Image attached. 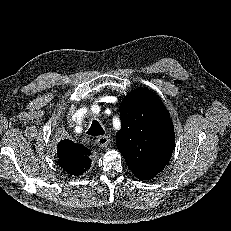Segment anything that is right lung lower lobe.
<instances>
[{
    "label": "right lung lower lobe",
    "instance_id": "obj_1",
    "mask_svg": "<svg viewBox=\"0 0 231 231\" xmlns=\"http://www.w3.org/2000/svg\"><path fill=\"white\" fill-rule=\"evenodd\" d=\"M62 141L64 142L63 143L64 146L69 147L71 149L78 150V151H88L87 148L83 147L80 144L73 143L71 140L65 139Z\"/></svg>",
    "mask_w": 231,
    "mask_h": 231
}]
</instances>
